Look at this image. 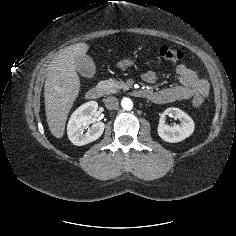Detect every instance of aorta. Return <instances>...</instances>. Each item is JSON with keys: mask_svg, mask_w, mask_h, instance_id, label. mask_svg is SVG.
<instances>
[{"mask_svg": "<svg viewBox=\"0 0 236 236\" xmlns=\"http://www.w3.org/2000/svg\"><path fill=\"white\" fill-rule=\"evenodd\" d=\"M122 108L125 110H131L133 107V102L129 98H123L121 101Z\"/></svg>", "mask_w": 236, "mask_h": 236, "instance_id": "obj_1", "label": "aorta"}]
</instances>
